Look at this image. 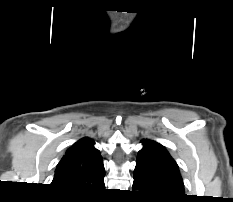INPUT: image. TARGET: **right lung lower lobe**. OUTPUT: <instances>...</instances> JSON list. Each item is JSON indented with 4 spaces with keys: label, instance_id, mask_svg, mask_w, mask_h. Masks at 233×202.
Listing matches in <instances>:
<instances>
[{
    "label": "right lung lower lobe",
    "instance_id": "98d812e1",
    "mask_svg": "<svg viewBox=\"0 0 233 202\" xmlns=\"http://www.w3.org/2000/svg\"><path fill=\"white\" fill-rule=\"evenodd\" d=\"M104 189V188H103ZM103 189H101V190H103ZM101 190H99L98 192H96L93 196H95L96 194H98ZM64 193V192H63Z\"/></svg>",
    "mask_w": 233,
    "mask_h": 202
}]
</instances>
